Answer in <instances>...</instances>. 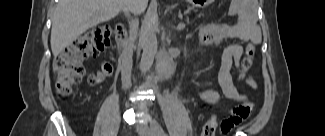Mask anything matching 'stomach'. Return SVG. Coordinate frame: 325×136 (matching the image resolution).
<instances>
[{
	"label": "stomach",
	"mask_w": 325,
	"mask_h": 136,
	"mask_svg": "<svg viewBox=\"0 0 325 136\" xmlns=\"http://www.w3.org/2000/svg\"><path fill=\"white\" fill-rule=\"evenodd\" d=\"M189 1L195 7H205L211 2H213V0H189Z\"/></svg>",
	"instance_id": "stomach-1"
}]
</instances>
